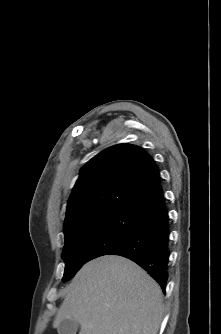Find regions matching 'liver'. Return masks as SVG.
Returning a JSON list of instances; mask_svg holds the SVG:
<instances>
[{"label":"liver","mask_w":221,"mask_h":334,"mask_svg":"<svg viewBox=\"0 0 221 334\" xmlns=\"http://www.w3.org/2000/svg\"><path fill=\"white\" fill-rule=\"evenodd\" d=\"M163 312L161 288L146 271L125 257L105 255L75 275L53 327L73 319L79 334H157Z\"/></svg>","instance_id":"obj_1"}]
</instances>
